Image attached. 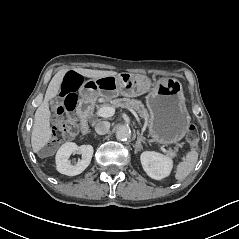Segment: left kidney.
Returning <instances> with one entry per match:
<instances>
[{
  "label": "left kidney",
  "mask_w": 239,
  "mask_h": 239,
  "mask_svg": "<svg viewBox=\"0 0 239 239\" xmlns=\"http://www.w3.org/2000/svg\"><path fill=\"white\" fill-rule=\"evenodd\" d=\"M141 163L145 172L157 180L167 176L172 167L171 160L154 152H144L141 155Z\"/></svg>",
  "instance_id": "left-kidney-1"
}]
</instances>
